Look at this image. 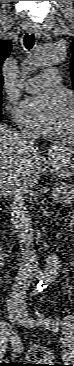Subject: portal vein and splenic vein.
<instances>
[{"instance_id":"1","label":"portal vein and splenic vein","mask_w":74,"mask_h":366,"mask_svg":"<svg viewBox=\"0 0 74 366\" xmlns=\"http://www.w3.org/2000/svg\"><path fill=\"white\" fill-rule=\"evenodd\" d=\"M59 191H53L52 197L54 200L58 199L59 195H58Z\"/></svg>"}]
</instances>
